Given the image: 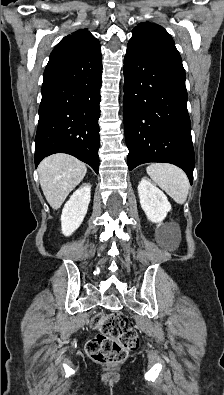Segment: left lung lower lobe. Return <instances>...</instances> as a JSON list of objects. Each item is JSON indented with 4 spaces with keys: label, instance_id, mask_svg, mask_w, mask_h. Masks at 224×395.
I'll list each match as a JSON object with an SVG mask.
<instances>
[{
    "label": "left lung lower lobe",
    "instance_id": "0a47b994",
    "mask_svg": "<svg viewBox=\"0 0 224 395\" xmlns=\"http://www.w3.org/2000/svg\"><path fill=\"white\" fill-rule=\"evenodd\" d=\"M128 168L167 162L193 181L194 150L182 63L128 46L124 59Z\"/></svg>",
    "mask_w": 224,
    "mask_h": 395
}]
</instances>
